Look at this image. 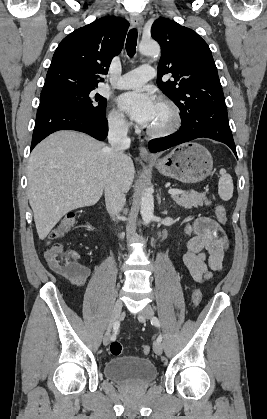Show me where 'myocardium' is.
Returning <instances> with one entry per match:
<instances>
[{
  "label": "myocardium",
  "instance_id": "myocardium-1",
  "mask_svg": "<svg viewBox=\"0 0 267 419\" xmlns=\"http://www.w3.org/2000/svg\"><path fill=\"white\" fill-rule=\"evenodd\" d=\"M158 103L163 104L169 108L172 115V120L168 125L161 128H146V133L149 136L155 138L166 137L175 133L180 128L182 123L180 108L173 100L167 97H160L158 99Z\"/></svg>",
  "mask_w": 267,
  "mask_h": 419
}]
</instances>
